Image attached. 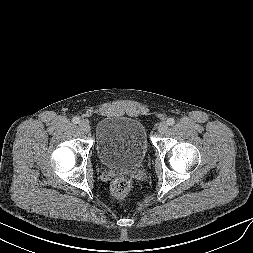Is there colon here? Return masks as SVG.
<instances>
[{
  "label": "colon",
  "instance_id": "5ec220e1",
  "mask_svg": "<svg viewBox=\"0 0 253 253\" xmlns=\"http://www.w3.org/2000/svg\"><path fill=\"white\" fill-rule=\"evenodd\" d=\"M133 182L129 177L122 176L116 178L111 186L114 196L119 199H125L132 190Z\"/></svg>",
  "mask_w": 253,
  "mask_h": 253
}]
</instances>
